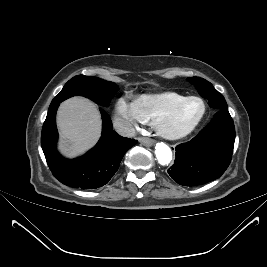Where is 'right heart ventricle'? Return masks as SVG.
I'll return each instance as SVG.
<instances>
[{"label":"right heart ventricle","mask_w":267,"mask_h":267,"mask_svg":"<svg viewBox=\"0 0 267 267\" xmlns=\"http://www.w3.org/2000/svg\"><path fill=\"white\" fill-rule=\"evenodd\" d=\"M185 97V95L176 92H164L142 95L135 102L144 120L154 124L161 115L169 111Z\"/></svg>","instance_id":"right-heart-ventricle-1"}]
</instances>
